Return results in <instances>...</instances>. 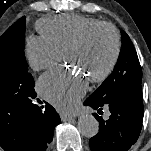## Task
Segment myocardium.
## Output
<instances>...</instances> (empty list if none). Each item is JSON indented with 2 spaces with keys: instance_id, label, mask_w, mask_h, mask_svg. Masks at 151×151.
I'll return each instance as SVG.
<instances>
[{
  "instance_id": "f54148a6",
  "label": "myocardium",
  "mask_w": 151,
  "mask_h": 151,
  "mask_svg": "<svg viewBox=\"0 0 151 151\" xmlns=\"http://www.w3.org/2000/svg\"><path fill=\"white\" fill-rule=\"evenodd\" d=\"M100 30H107L111 34L113 38V54L106 68L101 73L90 77V80L92 82H102L107 79L109 75L113 72L118 62L121 52V41L117 29L112 24L106 22L95 24L89 27L79 38L69 44L65 50V58L69 59V56L72 53L83 48L88 43L90 37Z\"/></svg>"
}]
</instances>
